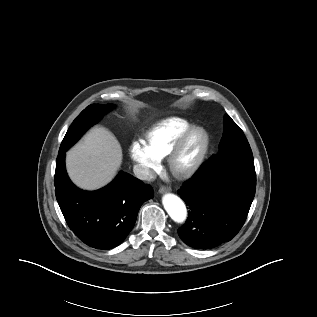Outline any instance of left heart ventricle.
Masks as SVG:
<instances>
[{
  "label": "left heart ventricle",
  "instance_id": "1",
  "mask_svg": "<svg viewBox=\"0 0 317 317\" xmlns=\"http://www.w3.org/2000/svg\"><path fill=\"white\" fill-rule=\"evenodd\" d=\"M198 146H199L198 138H196V137L192 138L188 142L187 146L185 147V149L181 155L180 163L181 164L189 163L196 155L197 150H198Z\"/></svg>",
  "mask_w": 317,
  "mask_h": 317
}]
</instances>
